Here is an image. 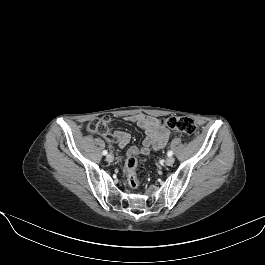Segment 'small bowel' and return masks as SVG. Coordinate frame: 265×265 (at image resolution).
Returning a JSON list of instances; mask_svg holds the SVG:
<instances>
[{
  "mask_svg": "<svg viewBox=\"0 0 265 265\" xmlns=\"http://www.w3.org/2000/svg\"><path fill=\"white\" fill-rule=\"evenodd\" d=\"M124 121L136 124L146 133L142 147H129L127 150L128 156H146L152 151H158L166 146L170 131L161 125L158 118L144 114H134L125 116ZM102 135L108 140L115 142L120 148H125L131 140L130 134L122 130H116L112 133L108 132Z\"/></svg>",
  "mask_w": 265,
  "mask_h": 265,
  "instance_id": "obj_1",
  "label": "small bowel"
}]
</instances>
